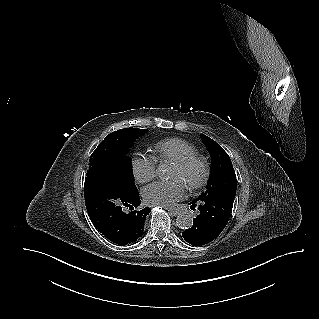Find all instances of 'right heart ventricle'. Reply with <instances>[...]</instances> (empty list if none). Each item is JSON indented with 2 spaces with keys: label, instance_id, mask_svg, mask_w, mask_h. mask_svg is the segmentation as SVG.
I'll return each instance as SVG.
<instances>
[{
  "label": "right heart ventricle",
  "instance_id": "right-heart-ventricle-1",
  "mask_svg": "<svg viewBox=\"0 0 319 319\" xmlns=\"http://www.w3.org/2000/svg\"><path fill=\"white\" fill-rule=\"evenodd\" d=\"M194 154H197L196 148L187 140L178 137L162 140L153 146V157L159 162L175 163Z\"/></svg>",
  "mask_w": 319,
  "mask_h": 319
}]
</instances>
